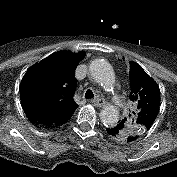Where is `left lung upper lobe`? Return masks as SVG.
I'll use <instances>...</instances> for the list:
<instances>
[{
	"label": "left lung upper lobe",
	"instance_id": "1",
	"mask_svg": "<svg viewBox=\"0 0 177 177\" xmlns=\"http://www.w3.org/2000/svg\"><path fill=\"white\" fill-rule=\"evenodd\" d=\"M129 63V99L133 102L134 108L129 118H124L117 125L120 134L115 139L121 141H125L131 134L143 136L153 125L160 105V90L156 82L140 65L133 61Z\"/></svg>",
	"mask_w": 177,
	"mask_h": 177
}]
</instances>
